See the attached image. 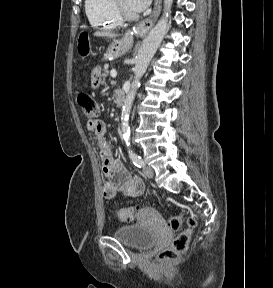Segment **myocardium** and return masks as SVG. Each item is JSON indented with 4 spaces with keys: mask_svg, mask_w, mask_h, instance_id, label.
<instances>
[{
    "mask_svg": "<svg viewBox=\"0 0 273 288\" xmlns=\"http://www.w3.org/2000/svg\"><path fill=\"white\" fill-rule=\"evenodd\" d=\"M113 2H114L116 13L121 20L134 21L138 18V16L135 13H131L126 8H124L121 5L120 0H113Z\"/></svg>",
    "mask_w": 273,
    "mask_h": 288,
    "instance_id": "1",
    "label": "myocardium"
}]
</instances>
